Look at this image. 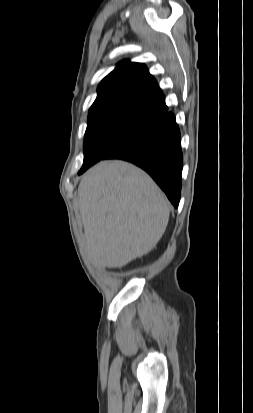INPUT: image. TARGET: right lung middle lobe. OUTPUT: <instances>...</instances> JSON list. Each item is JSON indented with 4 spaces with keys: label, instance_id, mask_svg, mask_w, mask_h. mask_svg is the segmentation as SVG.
<instances>
[{
    "label": "right lung middle lobe",
    "instance_id": "right-lung-middle-lobe-1",
    "mask_svg": "<svg viewBox=\"0 0 253 413\" xmlns=\"http://www.w3.org/2000/svg\"><path fill=\"white\" fill-rule=\"evenodd\" d=\"M161 119L132 110H110L88 115L84 161L79 172L153 128Z\"/></svg>",
    "mask_w": 253,
    "mask_h": 413
}]
</instances>
